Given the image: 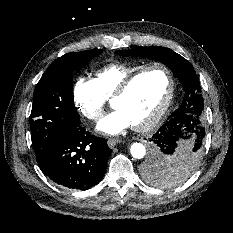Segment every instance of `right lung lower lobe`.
<instances>
[{
    "label": "right lung lower lobe",
    "instance_id": "98d812e1",
    "mask_svg": "<svg viewBox=\"0 0 233 233\" xmlns=\"http://www.w3.org/2000/svg\"><path fill=\"white\" fill-rule=\"evenodd\" d=\"M110 153L105 139L91 135L79 124L61 133L39 166L55 183L87 190L100 181Z\"/></svg>",
    "mask_w": 233,
    "mask_h": 233
}]
</instances>
